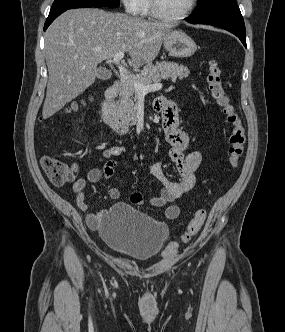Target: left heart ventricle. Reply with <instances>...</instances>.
Segmentation results:
<instances>
[{
    "label": "left heart ventricle",
    "mask_w": 285,
    "mask_h": 332,
    "mask_svg": "<svg viewBox=\"0 0 285 332\" xmlns=\"http://www.w3.org/2000/svg\"><path fill=\"white\" fill-rule=\"evenodd\" d=\"M162 11L170 16L183 13L189 6L190 0H159Z\"/></svg>",
    "instance_id": "obj_1"
}]
</instances>
